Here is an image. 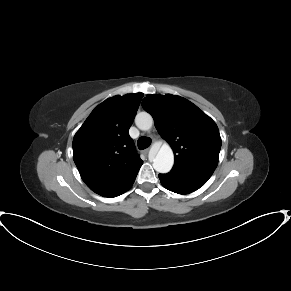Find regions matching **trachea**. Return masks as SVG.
Segmentation results:
<instances>
[{"label":"trachea","instance_id":"1","mask_svg":"<svg viewBox=\"0 0 291 291\" xmlns=\"http://www.w3.org/2000/svg\"><path fill=\"white\" fill-rule=\"evenodd\" d=\"M151 144V139L149 137H140L137 141L138 148L140 150L146 149Z\"/></svg>","mask_w":291,"mask_h":291}]
</instances>
